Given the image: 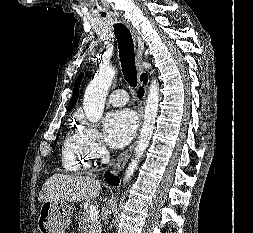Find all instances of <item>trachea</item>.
<instances>
[{
    "mask_svg": "<svg viewBox=\"0 0 253 233\" xmlns=\"http://www.w3.org/2000/svg\"><path fill=\"white\" fill-rule=\"evenodd\" d=\"M102 16H105L103 13ZM114 33L118 42L119 57L125 80L131 87L137 86L134 44L130 31L124 24L114 25Z\"/></svg>",
    "mask_w": 253,
    "mask_h": 233,
    "instance_id": "1",
    "label": "trachea"
}]
</instances>
